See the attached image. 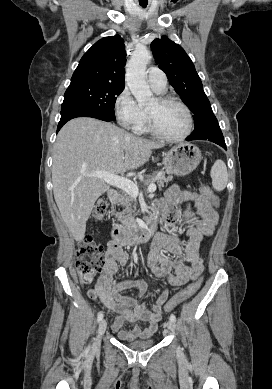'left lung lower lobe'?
<instances>
[{"label":"left lung lower lobe","instance_id":"0a47b994","mask_svg":"<svg viewBox=\"0 0 272 389\" xmlns=\"http://www.w3.org/2000/svg\"><path fill=\"white\" fill-rule=\"evenodd\" d=\"M186 140H208L220 145L225 150H227L223 134L217 120L213 121L200 131L192 133Z\"/></svg>","mask_w":272,"mask_h":389}]
</instances>
